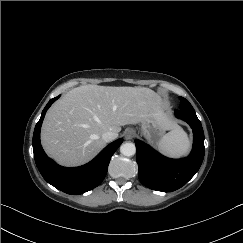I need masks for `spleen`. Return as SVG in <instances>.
<instances>
[{"label": "spleen", "instance_id": "1", "mask_svg": "<svg viewBox=\"0 0 243 243\" xmlns=\"http://www.w3.org/2000/svg\"><path fill=\"white\" fill-rule=\"evenodd\" d=\"M158 146L165 155L179 157L189 151L190 141L185 131L176 127L162 137Z\"/></svg>", "mask_w": 243, "mask_h": 243}]
</instances>
